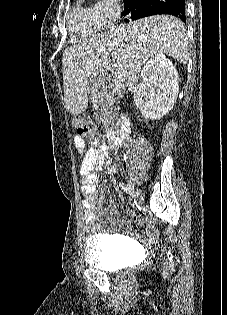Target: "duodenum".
<instances>
[{"label":"duodenum","mask_w":227,"mask_h":315,"mask_svg":"<svg viewBox=\"0 0 227 315\" xmlns=\"http://www.w3.org/2000/svg\"><path fill=\"white\" fill-rule=\"evenodd\" d=\"M131 130L130 119L126 114H122L119 119L117 129L111 130L108 133V140L115 146H120L126 143Z\"/></svg>","instance_id":"duodenum-1"}]
</instances>
